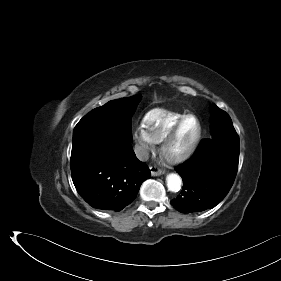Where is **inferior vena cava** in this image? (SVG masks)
Listing matches in <instances>:
<instances>
[{"mask_svg": "<svg viewBox=\"0 0 281 281\" xmlns=\"http://www.w3.org/2000/svg\"><path fill=\"white\" fill-rule=\"evenodd\" d=\"M134 151L140 161H147L149 159V152L145 147L135 145Z\"/></svg>", "mask_w": 281, "mask_h": 281, "instance_id": "inferior-vena-cava-1", "label": "inferior vena cava"}]
</instances>
